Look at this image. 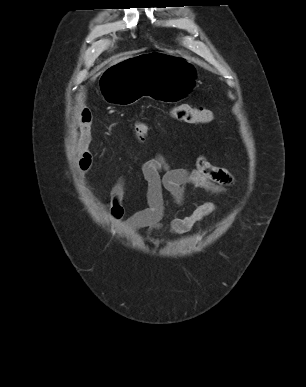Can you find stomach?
<instances>
[{"mask_svg": "<svg viewBox=\"0 0 306 387\" xmlns=\"http://www.w3.org/2000/svg\"><path fill=\"white\" fill-rule=\"evenodd\" d=\"M133 55L101 70V93L112 105H132L141 95L161 99V104H179L197 82L196 67L183 56L163 53L162 46H144Z\"/></svg>", "mask_w": 306, "mask_h": 387, "instance_id": "1", "label": "stomach"}]
</instances>
